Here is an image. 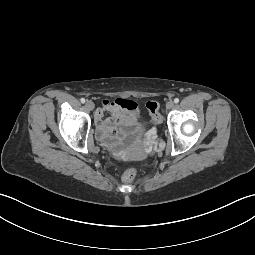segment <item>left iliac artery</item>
<instances>
[{
	"label": "left iliac artery",
	"instance_id": "44dca946",
	"mask_svg": "<svg viewBox=\"0 0 255 255\" xmlns=\"http://www.w3.org/2000/svg\"><path fill=\"white\" fill-rule=\"evenodd\" d=\"M174 102H175V103H178V102H179V99H178V98H175V99H174Z\"/></svg>",
	"mask_w": 255,
	"mask_h": 255
}]
</instances>
